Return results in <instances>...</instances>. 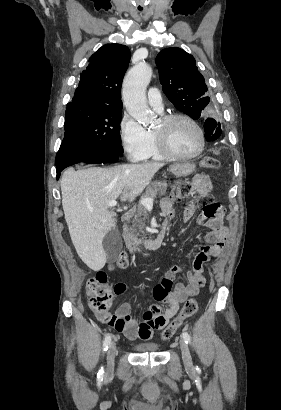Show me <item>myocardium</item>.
<instances>
[{
	"label": "myocardium",
	"instance_id": "obj_1",
	"mask_svg": "<svg viewBox=\"0 0 281 410\" xmlns=\"http://www.w3.org/2000/svg\"><path fill=\"white\" fill-rule=\"evenodd\" d=\"M176 120H185L195 127L200 137V147L195 153L190 154V155L177 154L170 148L164 135L162 133L154 131V137H155V140H156V143H157V146L160 152L165 156V158L170 159V160H190V159H194L200 156L203 153L205 146H206V137H205L203 128L193 117L187 114H182V113L169 114V115L163 116L160 119L162 125L165 127L170 125L172 122Z\"/></svg>",
	"mask_w": 281,
	"mask_h": 410
}]
</instances>
